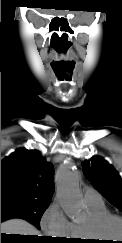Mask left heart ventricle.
<instances>
[{"label":"left heart ventricle","mask_w":122,"mask_h":243,"mask_svg":"<svg viewBox=\"0 0 122 243\" xmlns=\"http://www.w3.org/2000/svg\"><path fill=\"white\" fill-rule=\"evenodd\" d=\"M102 235L109 238H122V223L116 220L109 222L105 226Z\"/></svg>","instance_id":"b2bd125f"}]
</instances>
